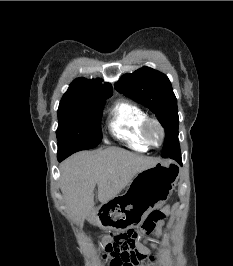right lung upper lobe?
Here are the masks:
<instances>
[{"instance_id": "cb5924a9", "label": "right lung upper lobe", "mask_w": 233, "mask_h": 266, "mask_svg": "<svg viewBox=\"0 0 233 266\" xmlns=\"http://www.w3.org/2000/svg\"><path fill=\"white\" fill-rule=\"evenodd\" d=\"M100 83V79L88 80L86 78H77L70 84L61 102L112 96V86L109 83L103 85H100Z\"/></svg>"}]
</instances>
